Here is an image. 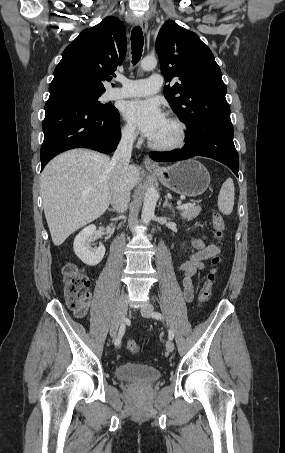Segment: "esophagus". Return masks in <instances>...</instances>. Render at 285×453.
<instances>
[{
	"label": "esophagus",
	"mask_w": 285,
	"mask_h": 453,
	"mask_svg": "<svg viewBox=\"0 0 285 453\" xmlns=\"http://www.w3.org/2000/svg\"><path fill=\"white\" fill-rule=\"evenodd\" d=\"M139 25L144 33L147 32L148 29V22L145 17L139 19ZM143 164L147 169H158L159 166L156 162L150 159L148 156L144 157Z\"/></svg>",
	"instance_id": "obj_1"
}]
</instances>
